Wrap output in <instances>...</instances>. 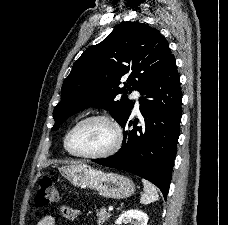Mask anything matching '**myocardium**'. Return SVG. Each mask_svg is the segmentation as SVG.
I'll use <instances>...</instances> for the list:
<instances>
[{
	"label": "myocardium",
	"instance_id": "obj_1",
	"mask_svg": "<svg viewBox=\"0 0 228 225\" xmlns=\"http://www.w3.org/2000/svg\"><path fill=\"white\" fill-rule=\"evenodd\" d=\"M91 120H99V121L106 123L108 126H110V128L112 129L113 134H114V142H113L112 146L108 150H106L102 153L85 154V153H74V152H72L69 149V137H70V135L81 124H83L87 121H91ZM122 143H123V137H122V131H121L119 124L115 120H113L112 118H110L106 115H102V114H90V115H86V116L80 118L66 131L64 138H63V148L69 156H72L75 158L93 159V160L103 159V158H107V157L114 155L116 152L119 151V149L122 146Z\"/></svg>",
	"mask_w": 228,
	"mask_h": 225
}]
</instances>
